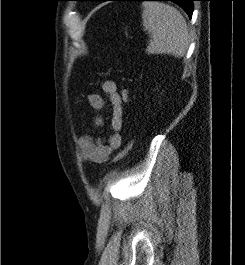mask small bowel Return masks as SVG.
Masks as SVG:
<instances>
[{"label": "small bowel", "instance_id": "1", "mask_svg": "<svg viewBox=\"0 0 245 265\" xmlns=\"http://www.w3.org/2000/svg\"><path fill=\"white\" fill-rule=\"evenodd\" d=\"M102 89L106 97L92 93L87 96V102L91 108L97 111H103L107 105H110V125L112 132L108 138V142L104 143L102 140L95 139L90 135L82 136L78 140V147L82 158L94 163L106 161L115 150L120 148L123 141L121 133L123 125V101L121 94L115 82L110 80L102 83ZM103 123V116L100 115L95 119L96 127L102 126Z\"/></svg>", "mask_w": 245, "mask_h": 265}]
</instances>
